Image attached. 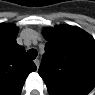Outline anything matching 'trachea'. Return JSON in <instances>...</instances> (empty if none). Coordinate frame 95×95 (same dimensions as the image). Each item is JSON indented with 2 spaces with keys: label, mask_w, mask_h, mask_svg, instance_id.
Returning <instances> with one entry per match:
<instances>
[{
  "label": "trachea",
  "mask_w": 95,
  "mask_h": 95,
  "mask_svg": "<svg viewBox=\"0 0 95 95\" xmlns=\"http://www.w3.org/2000/svg\"><path fill=\"white\" fill-rule=\"evenodd\" d=\"M37 55H38V52L35 49H30L27 51V57L31 60H34L37 57Z\"/></svg>",
  "instance_id": "obj_1"
}]
</instances>
